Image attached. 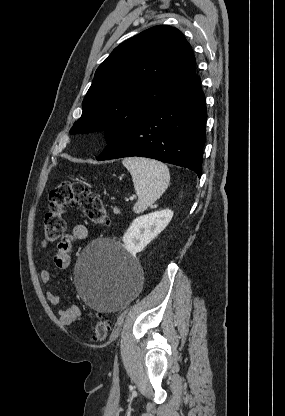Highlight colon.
<instances>
[{"mask_svg":"<svg viewBox=\"0 0 285 416\" xmlns=\"http://www.w3.org/2000/svg\"><path fill=\"white\" fill-rule=\"evenodd\" d=\"M77 206L94 224L107 223V211L101 198L84 184L75 181H63L51 190L48 199V211L44 218L43 243L50 244L61 238L66 229L64 213L67 206ZM110 331V321L100 317L92 330L94 341L104 340Z\"/></svg>","mask_w":285,"mask_h":416,"instance_id":"1","label":"colon"}]
</instances>
